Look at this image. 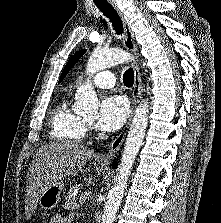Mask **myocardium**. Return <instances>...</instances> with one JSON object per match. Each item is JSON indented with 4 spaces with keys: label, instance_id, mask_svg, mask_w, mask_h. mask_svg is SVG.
<instances>
[{
    "label": "myocardium",
    "instance_id": "myocardium-1",
    "mask_svg": "<svg viewBox=\"0 0 221 223\" xmlns=\"http://www.w3.org/2000/svg\"><path fill=\"white\" fill-rule=\"evenodd\" d=\"M87 123H88L89 125H91V123H90L89 121H87Z\"/></svg>",
    "mask_w": 221,
    "mask_h": 223
}]
</instances>
